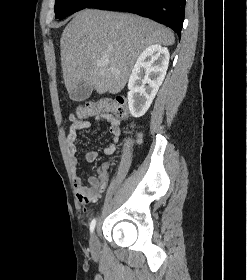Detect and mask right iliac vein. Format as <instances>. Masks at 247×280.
Listing matches in <instances>:
<instances>
[{"label":"right iliac vein","instance_id":"1","mask_svg":"<svg viewBox=\"0 0 247 280\" xmlns=\"http://www.w3.org/2000/svg\"><path fill=\"white\" fill-rule=\"evenodd\" d=\"M90 249L92 253H97L99 249V243L96 233H93L90 239Z\"/></svg>","mask_w":247,"mask_h":280}]
</instances>
